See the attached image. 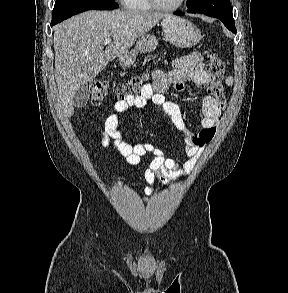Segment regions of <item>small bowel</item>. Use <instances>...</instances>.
<instances>
[{"label":"small bowel","instance_id":"c3829d8e","mask_svg":"<svg viewBox=\"0 0 288 293\" xmlns=\"http://www.w3.org/2000/svg\"><path fill=\"white\" fill-rule=\"evenodd\" d=\"M152 78L153 82L145 85L139 95L130 96L115 103V112L105 118L101 134V146L107 148L112 145L131 165L139 164L147 154L153 156L144 173L148 184L145 189L146 196L152 194V186L156 179L169 186L172 180L180 178L194 169L205 146L213 140L222 113L218 101L212 96H205L202 100L201 129L191 131L187 128L178 105L167 100L164 96L170 87L179 92L184 91L187 82H193L199 88L208 86L209 76L204 70L200 53L193 52L174 59L169 72L155 70L152 73ZM149 101L160 106L168 117L171 127L182 133L183 148L188 157L182 167L172 158L166 157L163 151L153 143L131 144L118 129L122 113L132 107L142 109Z\"/></svg>","mask_w":288,"mask_h":293}]
</instances>
